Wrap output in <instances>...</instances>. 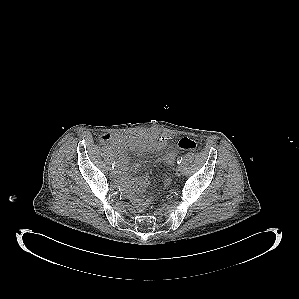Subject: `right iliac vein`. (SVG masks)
<instances>
[{
    "label": "right iliac vein",
    "mask_w": 299,
    "mask_h": 299,
    "mask_svg": "<svg viewBox=\"0 0 299 299\" xmlns=\"http://www.w3.org/2000/svg\"><path fill=\"white\" fill-rule=\"evenodd\" d=\"M110 176H111V177H116V176H117L116 171L113 170V169H111V170H110Z\"/></svg>",
    "instance_id": "63e3f726"
}]
</instances>
